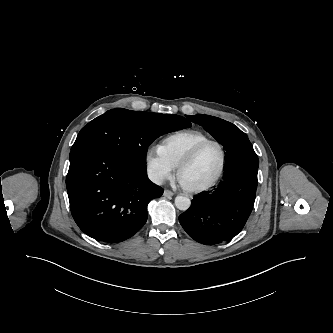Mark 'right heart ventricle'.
Here are the masks:
<instances>
[{
  "label": "right heart ventricle",
  "instance_id": "obj_1",
  "mask_svg": "<svg viewBox=\"0 0 333 333\" xmlns=\"http://www.w3.org/2000/svg\"><path fill=\"white\" fill-rule=\"evenodd\" d=\"M209 137L198 130H184L163 139L159 145L162 154L177 167L181 160L199 143Z\"/></svg>",
  "mask_w": 333,
  "mask_h": 333
}]
</instances>
